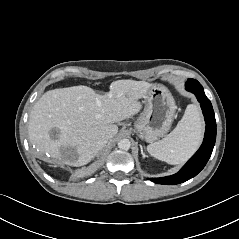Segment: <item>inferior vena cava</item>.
I'll return each instance as SVG.
<instances>
[{"label":"inferior vena cava","mask_w":239,"mask_h":239,"mask_svg":"<svg viewBox=\"0 0 239 239\" xmlns=\"http://www.w3.org/2000/svg\"><path fill=\"white\" fill-rule=\"evenodd\" d=\"M107 143H108V139L102 138L101 140L98 141L97 149L101 150L102 148H104L106 146Z\"/></svg>","instance_id":"inferior-vena-cava-1"}]
</instances>
